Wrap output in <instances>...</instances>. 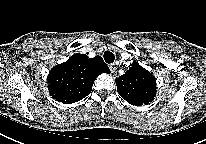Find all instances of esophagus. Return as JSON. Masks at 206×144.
<instances>
[{
  "label": "esophagus",
  "mask_w": 206,
  "mask_h": 144,
  "mask_svg": "<svg viewBox=\"0 0 206 144\" xmlns=\"http://www.w3.org/2000/svg\"><path fill=\"white\" fill-rule=\"evenodd\" d=\"M109 69L113 73L116 70V67L113 64H111L109 65Z\"/></svg>",
  "instance_id": "obj_1"
}]
</instances>
